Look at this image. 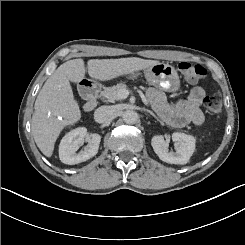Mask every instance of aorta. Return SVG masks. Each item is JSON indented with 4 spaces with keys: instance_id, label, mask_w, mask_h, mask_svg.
Listing matches in <instances>:
<instances>
[{
    "instance_id": "obj_1",
    "label": "aorta",
    "mask_w": 245,
    "mask_h": 245,
    "mask_svg": "<svg viewBox=\"0 0 245 245\" xmlns=\"http://www.w3.org/2000/svg\"><path fill=\"white\" fill-rule=\"evenodd\" d=\"M123 120L127 124H135L138 120V114L133 110H126L123 113Z\"/></svg>"
}]
</instances>
